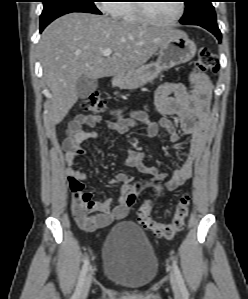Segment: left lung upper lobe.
Returning <instances> with one entry per match:
<instances>
[{
  "mask_svg": "<svg viewBox=\"0 0 248 299\" xmlns=\"http://www.w3.org/2000/svg\"><path fill=\"white\" fill-rule=\"evenodd\" d=\"M212 0H185V12L181 24H217Z\"/></svg>",
  "mask_w": 248,
  "mask_h": 299,
  "instance_id": "obj_1",
  "label": "left lung upper lobe"
}]
</instances>
